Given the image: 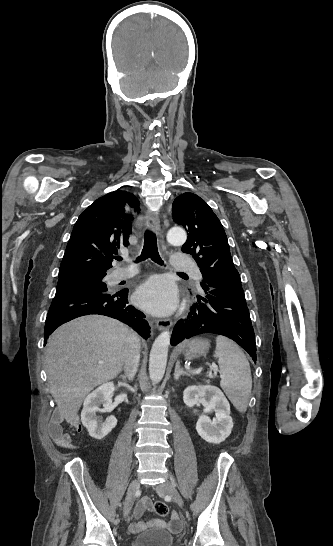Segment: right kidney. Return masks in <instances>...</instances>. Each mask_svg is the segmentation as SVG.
I'll use <instances>...</instances> for the list:
<instances>
[{"label": "right kidney", "instance_id": "obj_1", "mask_svg": "<svg viewBox=\"0 0 333 546\" xmlns=\"http://www.w3.org/2000/svg\"><path fill=\"white\" fill-rule=\"evenodd\" d=\"M114 389L115 386L112 382L104 383L91 392L84 400L81 421L89 435L95 439H103L117 425V419L114 416H109L105 421L97 417V413L99 412H109L112 410V394ZM101 405L103 408H100Z\"/></svg>", "mask_w": 333, "mask_h": 546}]
</instances>
